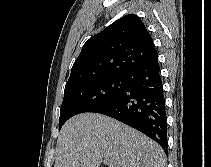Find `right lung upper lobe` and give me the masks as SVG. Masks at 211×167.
<instances>
[{"label": "right lung upper lobe", "instance_id": "cb5924a9", "mask_svg": "<svg viewBox=\"0 0 211 167\" xmlns=\"http://www.w3.org/2000/svg\"><path fill=\"white\" fill-rule=\"evenodd\" d=\"M156 58L157 51L144 23L137 15L128 14L83 45L65 89L97 78L126 76Z\"/></svg>", "mask_w": 211, "mask_h": 167}]
</instances>
